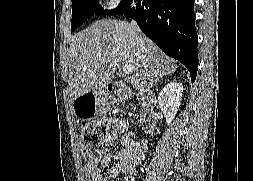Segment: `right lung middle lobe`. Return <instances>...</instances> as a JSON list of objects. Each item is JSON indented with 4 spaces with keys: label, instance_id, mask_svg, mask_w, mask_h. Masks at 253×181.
Wrapping results in <instances>:
<instances>
[{
    "label": "right lung middle lobe",
    "instance_id": "1",
    "mask_svg": "<svg viewBox=\"0 0 253 181\" xmlns=\"http://www.w3.org/2000/svg\"><path fill=\"white\" fill-rule=\"evenodd\" d=\"M130 0H122L114 10H104L98 0H72L71 31L76 30L92 14L114 15L128 6Z\"/></svg>",
    "mask_w": 253,
    "mask_h": 181
}]
</instances>
